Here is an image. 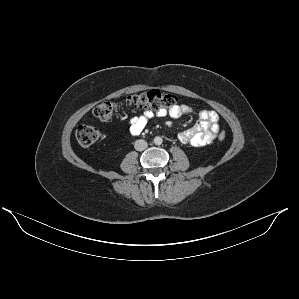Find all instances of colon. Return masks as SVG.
<instances>
[{"mask_svg": "<svg viewBox=\"0 0 299 299\" xmlns=\"http://www.w3.org/2000/svg\"><path fill=\"white\" fill-rule=\"evenodd\" d=\"M177 104V98L170 93L162 92L157 89L127 96L120 105L134 110L161 111L173 108ZM119 104L115 101L105 100L100 102L93 109V115L101 120H110ZM226 137L225 132L218 134V139L223 141ZM100 138L99 130L90 125H81L76 130V139L82 146H90Z\"/></svg>", "mask_w": 299, "mask_h": 299, "instance_id": "1", "label": "colon"}]
</instances>
